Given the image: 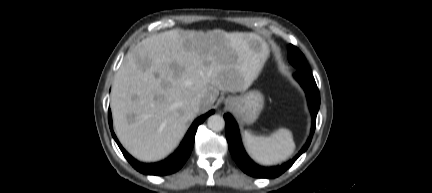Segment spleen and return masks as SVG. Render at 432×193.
<instances>
[{
  "label": "spleen",
  "mask_w": 432,
  "mask_h": 193,
  "mask_svg": "<svg viewBox=\"0 0 432 193\" xmlns=\"http://www.w3.org/2000/svg\"><path fill=\"white\" fill-rule=\"evenodd\" d=\"M244 146L253 160L265 166L286 161L295 151L292 133L285 128L278 129L268 137L244 131Z\"/></svg>",
  "instance_id": "obj_1"
}]
</instances>
